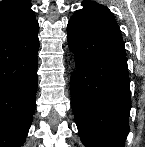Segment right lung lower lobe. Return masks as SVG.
Wrapping results in <instances>:
<instances>
[{
  "label": "right lung lower lobe",
  "instance_id": "98d812e1",
  "mask_svg": "<svg viewBox=\"0 0 145 147\" xmlns=\"http://www.w3.org/2000/svg\"><path fill=\"white\" fill-rule=\"evenodd\" d=\"M38 24L0 41V147H21L36 108Z\"/></svg>",
  "mask_w": 145,
  "mask_h": 147
}]
</instances>
